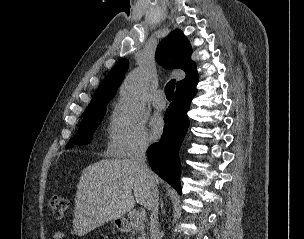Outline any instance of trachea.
<instances>
[{"instance_id": "obj_1", "label": "trachea", "mask_w": 304, "mask_h": 239, "mask_svg": "<svg viewBox=\"0 0 304 239\" xmlns=\"http://www.w3.org/2000/svg\"><path fill=\"white\" fill-rule=\"evenodd\" d=\"M175 83H176V81L174 79H172L165 86L166 98L169 99V100H171L173 98V93H174V89H175Z\"/></svg>"}]
</instances>
